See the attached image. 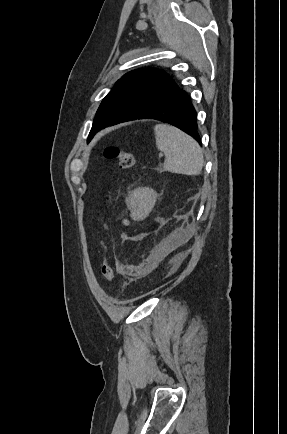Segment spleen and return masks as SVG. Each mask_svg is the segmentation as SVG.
Masks as SVG:
<instances>
[{
	"label": "spleen",
	"mask_w": 287,
	"mask_h": 434,
	"mask_svg": "<svg viewBox=\"0 0 287 434\" xmlns=\"http://www.w3.org/2000/svg\"><path fill=\"white\" fill-rule=\"evenodd\" d=\"M156 146L165 154L164 169L170 173L194 176L203 167L204 157L199 144L180 129L157 124L154 127Z\"/></svg>",
	"instance_id": "spleen-1"
}]
</instances>
